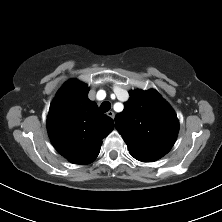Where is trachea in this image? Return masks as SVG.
Returning a JSON list of instances; mask_svg holds the SVG:
<instances>
[{
  "instance_id": "obj_1",
  "label": "trachea",
  "mask_w": 222,
  "mask_h": 222,
  "mask_svg": "<svg viewBox=\"0 0 222 222\" xmlns=\"http://www.w3.org/2000/svg\"><path fill=\"white\" fill-rule=\"evenodd\" d=\"M110 108H111V104L108 101L103 102L100 106V110L102 112H108L110 110Z\"/></svg>"
}]
</instances>
